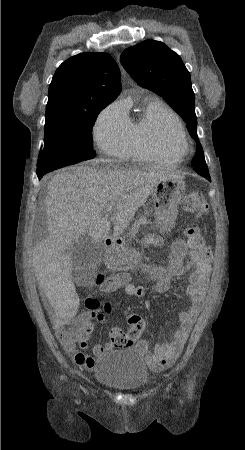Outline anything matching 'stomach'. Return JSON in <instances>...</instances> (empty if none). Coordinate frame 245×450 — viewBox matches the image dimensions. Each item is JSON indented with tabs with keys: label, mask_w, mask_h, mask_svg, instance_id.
Listing matches in <instances>:
<instances>
[{
	"label": "stomach",
	"mask_w": 245,
	"mask_h": 450,
	"mask_svg": "<svg viewBox=\"0 0 245 450\" xmlns=\"http://www.w3.org/2000/svg\"><path fill=\"white\" fill-rule=\"evenodd\" d=\"M185 188L182 178H165L155 184L152 194L154 218L162 231H169L174 226ZM140 259V254L125 242L112 245L105 253V262L117 271L134 269Z\"/></svg>",
	"instance_id": "0dacf381"
}]
</instances>
